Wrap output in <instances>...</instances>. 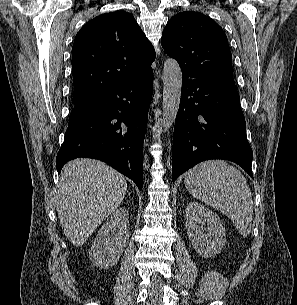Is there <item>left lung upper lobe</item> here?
<instances>
[{"mask_svg": "<svg viewBox=\"0 0 297 305\" xmlns=\"http://www.w3.org/2000/svg\"><path fill=\"white\" fill-rule=\"evenodd\" d=\"M161 44L182 72L196 78L233 77L226 34L204 14L185 11L173 16L164 28Z\"/></svg>", "mask_w": 297, "mask_h": 305, "instance_id": "5c2ea615", "label": "left lung upper lobe"}]
</instances>
